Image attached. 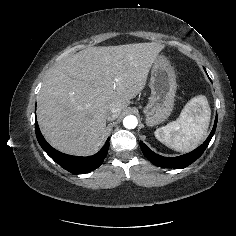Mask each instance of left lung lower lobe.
<instances>
[{
    "label": "left lung lower lobe",
    "mask_w": 236,
    "mask_h": 236,
    "mask_svg": "<svg viewBox=\"0 0 236 236\" xmlns=\"http://www.w3.org/2000/svg\"><path fill=\"white\" fill-rule=\"evenodd\" d=\"M217 126V115L214 122L213 129L205 140V142L200 145L198 148L193 150L190 153L178 156V157H164L160 156L153 151H151L142 141H140V147L144 154V156L154 165L163 167V168H175V169H182L196 161L205 151L207 148L211 138L213 137Z\"/></svg>",
    "instance_id": "obj_1"
}]
</instances>
